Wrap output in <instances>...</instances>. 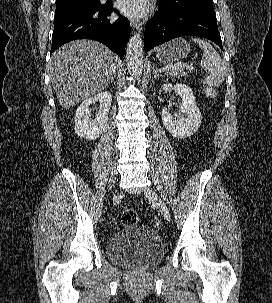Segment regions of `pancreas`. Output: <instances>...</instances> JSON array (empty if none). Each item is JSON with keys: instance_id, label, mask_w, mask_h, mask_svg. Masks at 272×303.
Here are the masks:
<instances>
[{"instance_id": "obj_1", "label": "pancreas", "mask_w": 272, "mask_h": 303, "mask_svg": "<svg viewBox=\"0 0 272 303\" xmlns=\"http://www.w3.org/2000/svg\"><path fill=\"white\" fill-rule=\"evenodd\" d=\"M167 73L171 76H174V77H185V76H187V72H185L183 69H170Z\"/></svg>"}]
</instances>
